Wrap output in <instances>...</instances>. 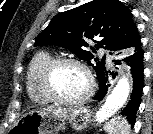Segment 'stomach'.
<instances>
[{"mask_svg": "<svg viewBox=\"0 0 153 134\" xmlns=\"http://www.w3.org/2000/svg\"><path fill=\"white\" fill-rule=\"evenodd\" d=\"M92 112L88 107H77L71 109L49 108L35 109L23 114L13 125L12 134H57L64 129L66 122L75 130H82Z\"/></svg>", "mask_w": 153, "mask_h": 134, "instance_id": "1", "label": "stomach"}]
</instances>
